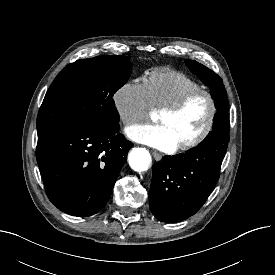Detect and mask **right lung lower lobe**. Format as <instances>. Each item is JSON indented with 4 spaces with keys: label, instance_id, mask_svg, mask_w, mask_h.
<instances>
[{
    "label": "right lung lower lobe",
    "instance_id": "1",
    "mask_svg": "<svg viewBox=\"0 0 275 275\" xmlns=\"http://www.w3.org/2000/svg\"><path fill=\"white\" fill-rule=\"evenodd\" d=\"M117 128L71 126L38 137L37 163L49 200L74 216H91L108 201L133 146Z\"/></svg>",
    "mask_w": 275,
    "mask_h": 275
}]
</instances>
